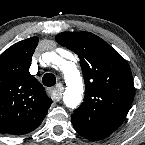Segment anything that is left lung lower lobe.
Wrapping results in <instances>:
<instances>
[{"label":"left lung lower lobe","mask_w":145,"mask_h":145,"mask_svg":"<svg viewBox=\"0 0 145 145\" xmlns=\"http://www.w3.org/2000/svg\"><path fill=\"white\" fill-rule=\"evenodd\" d=\"M72 124L76 131L86 139L89 140H101L108 137L110 134L95 129L89 128L88 126L72 119Z\"/></svg>","instance_id":"obj_1"}]
</instances>
